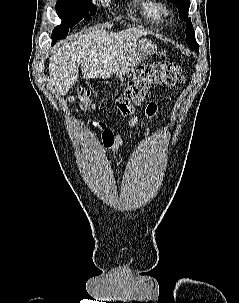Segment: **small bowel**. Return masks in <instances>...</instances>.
<instances>
[{
	"label": "small bowel",
	"mask_w": 239,
	"mask_h": 303,
	"mask_svg": "<svg viewBox=\"0 0 239 303\" xmlns=\"http://www.w3.org/2000/svg\"><path fill=\"white\" fill-rule=\"evenodd\" d=\"M157 113V105L155 102H150L146 109H145V114L148 118H153ZM128 124L130 126H135V125H140L143 133L145 135L149 134V128L148 126L145 124L144 121L138 119V118H131L128 121ZM123 144V138L121 135L118 134H114L113 132L107 130L104 131L102 134V145L103 148L106 149L111 155L115 154L119 148L122 146Z\"/></svg>",
	"instance_id": "1"
}]
</instances>
